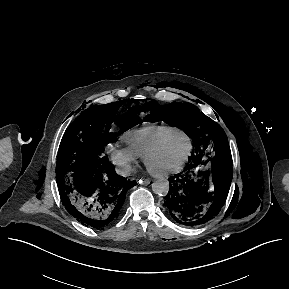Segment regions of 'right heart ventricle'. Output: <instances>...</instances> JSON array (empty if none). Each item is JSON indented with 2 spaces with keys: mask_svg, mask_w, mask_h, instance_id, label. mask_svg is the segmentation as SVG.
Returning <instances> with one entry per match:
<instances>
[{
  "mask_svg": "<svg viewBox=\"0 0 289 289\" xmlns=\"http://www.w3.org/2000/svg\"><path fill=\"white\" fill-rule=\"evenodd\" d=\"M177 130L167 125H147L126 132L121 137V142L135 156L143 157L152 146Z\"/></svg>",
  "mask_w": 289,
  "mask_h": 289,
  "instance_id": "obj_1",
  "label": "right heart ventricle"
}]
</instances>
